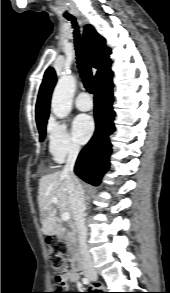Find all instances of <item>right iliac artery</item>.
Returning a JSON list of instances; mask_svg holds the SVG:
<instances>
[{
	"label": "right iliac artery",
	"mask_w": 170,
	"mask_h": 293,
	"mask_svg": "<svg viewBox=\"0 0 170 293\" xmlns=\"http://www.w3.org/2000/svg\"><path fill=\"white\" fill-rule=\"evenodd\" d=\"M82 281H83L84 284H89V282H90L88 278H83Z\"/></svg>",
	"instance_id": "82829eb1"
}]
</instances>
